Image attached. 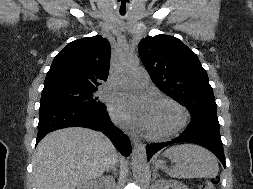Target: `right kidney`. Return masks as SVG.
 Masks as SVG:
<instances>
[{"label": "right kidney", "instance_id": "1", "mask_svg": "<svg viewBox=\"0 0 253 189\" xmlns=\"http://www.w3.org/2000/svg\"><path fill=\"white\" fill-rule=\"evenodd\" d=\"M109 177H101L99 180L89 181L80 185L77 189H114V182Z\"/></svg>", "mask_w": 253, "mask_h": 189}]
</instances>
